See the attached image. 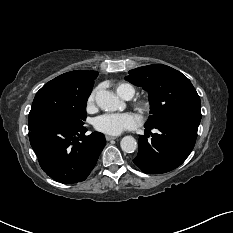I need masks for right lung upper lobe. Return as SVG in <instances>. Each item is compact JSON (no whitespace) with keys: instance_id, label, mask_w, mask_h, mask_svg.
<instances>
[{"instance_id":"cb5924a9","label":"right lung upper lobe","mask_w":233,"mask_h":233,"mask_svg":"<svg viewBox=\"0 0 233 233\" xmlns=\"http://www.w3.org/2000/svg\"><path fill=\"white\" fill-rule=\"evenodd\" d=\"M62 76L75 80V81H85L91 78L96 79V77L98 76V73L96 71L76 70V71H71V72L62 74Z\"/></svg>"}]
</instances>
